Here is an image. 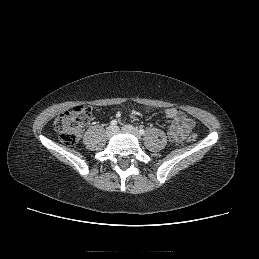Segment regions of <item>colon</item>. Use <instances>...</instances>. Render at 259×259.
Listing matches in <instances>:
<instances>
[{
	"label": "colon",
	"instance_id": "colon-1",
	"mask_svg": "<svg viewBox=\"0 0 259 259\" xmlns=\"http://www.w3.org/2000/svg\"><path fill=\"white\" fill-rule=\"evenodd\" d=\"M92 110L87 105H80L59 114L54 121V129L60 140L66 145L76 144L81 137L84 125L90 120ZM197 136H188L189 143L195 142Z\"/></svg>",
	"mask_w": 259,
	"mask_h": 259
}]
</instances>
